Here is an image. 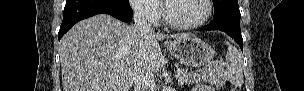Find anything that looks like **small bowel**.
Listing matches in <instances>:
<instances>
[{
  "instance_id": "small-bowel-1",
  "label": "small bowel",
  "mask_w": 304,
  "mask_h": 91,
  "mask_svg": "<svg viewBox=\"0 0 304 91\" xmlns=\"http://www.w3.org/2000/svg\"><path fill=\"white\" fill-rule=\"evenodd\" d=\"M210 90H212V89L209 87L203 86V85H200V86H197L194 88V91H210Z\"/></svg>"
}]
</instances>
